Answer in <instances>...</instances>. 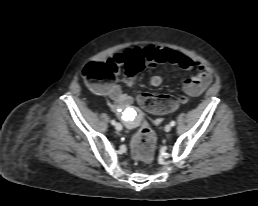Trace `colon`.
<instances>
[{"mask_svg": "<svg viewBox=\"0 0 258 206\" xmlns=\"http://www.w3.org/2000/svg\"><path fill=\"white\" fill-rule=\"evenodd\" d=\"M144 59L141 55H133L125 65L127 76L137 75L144 67ZM114 73L108 64L89 63L83 68L85 81L93 87H101L114 80ZM172 96L155 95L148 92H141L138 95V103L142 108L153 113H168L173 111L180 102ZM156 135L154 131L143 123L137 134L132 140V156L142 163H149L153 160L156 148Z\"/></svg>", "mask_w": 258, "mask_h": 206, "instance_id": "colon-1", "label": "colon"}]
</instances>
